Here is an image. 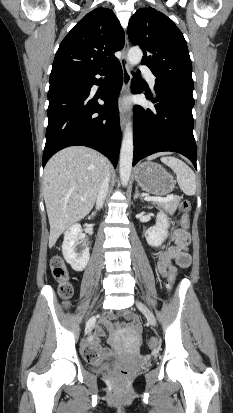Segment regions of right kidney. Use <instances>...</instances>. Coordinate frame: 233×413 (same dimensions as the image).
<instances>
[{
	"label": "right kidney",
	"instance_id": "obj_1",
	"mask_svg": "<svg viewBox=\"0 0 233 413\" xmlns=\"http://www.w3.org/2000/svg\"><path fill=\"white\" fill-rule=\"evenodd\" d=\"M81 232L82 228L80 224L70 226L64 233V241L62 244V252L65 260L71 265L72 269L77 272L85 269L90 257L89 247L84 249L82 255L76 253L75 245Z\"/></svg>",
	"mask_w": 233,
	"mask_h": 413
}]
</instances>
